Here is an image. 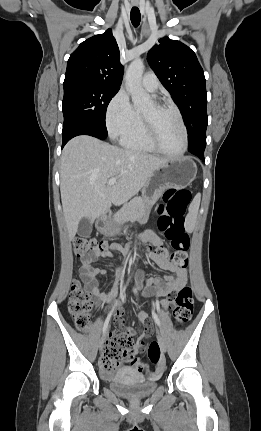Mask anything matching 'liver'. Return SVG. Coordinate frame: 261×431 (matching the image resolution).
Listing matches in <instances>:
<instances>
[{"mask_svg": "<svg viewBox=\"0 0 261 431\" xmlns=\"http://www.w3.org/2000/svg\"><path fill=\"white\" fill-rule=\"evenodd\" d=\"M165 158L122 149L91 136L71 139L61 156V201L72 240L83 218L91 222L119 206L145 186ZM117 178L110 186V178Z\"/></svg>", "mask_w": 261, "mask_h": 431, "instance_id": "6515ba94", "label": "liver"}]
</instances>
